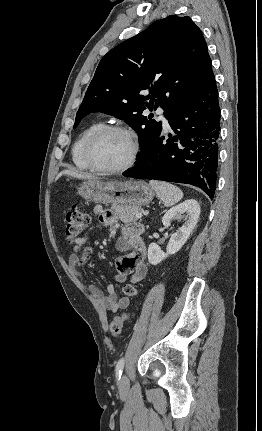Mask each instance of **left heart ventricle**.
I'll list each match as a JSON object with an SVG mask.
<instances>
[{"label":"left heart ventricle","mask_w":262,"mask_h":431,"mask_svg":"<svg viewBox=\"0 0 262 431\" xmlns=\"http://www.w3.org/2000/svg\"><path fill=\"white\" fill-rule=\"evenodd\" d=\"M131 151V141L125 134L110 132L97 141L94 148V159L101 166L116 168L127 162Z\"/></svg>","instance_id":"1"}]
</instances>
